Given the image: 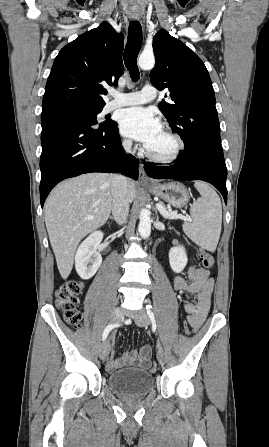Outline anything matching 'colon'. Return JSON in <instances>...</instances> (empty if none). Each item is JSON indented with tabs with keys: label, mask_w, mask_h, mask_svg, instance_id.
I'll return each instance as SVG.
<instances>
[{
	"label": "colon",
	"mask_w": 269,
	"mask_h": 447,
	"mask_svg": "<svg viewBox=\"0 0 269 447\" xmlns=\"http://www.w3.org/2000/svg\"><path fill=\"white\" fill-rule=\"evenodd\" d=\"M197 257L201 266L205 269H211L215 264L214 256L206 250L200 249ZM81 291L82 283L80 281H70L62 285L56 292L57 307L61 311L65 321L73 328H80L83 324V316L78 309V295ZM179 326L186 330V336L188 338L193 334V331L189 330V325L186 320L180 321ZM142 353L149 355L151 350L144 348ZM144 369L154 373L157 370V364L155 362H148Z\"/></svg>",
	"instance_id": "1"
}]
</instances>
